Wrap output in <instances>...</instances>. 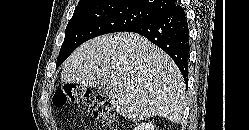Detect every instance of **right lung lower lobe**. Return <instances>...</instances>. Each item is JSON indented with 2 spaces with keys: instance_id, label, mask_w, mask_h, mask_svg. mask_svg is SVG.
Masks as SVG:
<instances>
[{
  "instance_id": "right-lung-lower-lobe-1",
  "label": "right lung lower lobe",
  "mask_w": 249,
  "mask_h": 130,
  "mask_svg": "<svg viewBox=\"0 0 249 130\" xmlns=\"http://www.w3.org/2000/svg\"><path fill=\"white\" fill-rule=\"evenodd\" d=\"M125 31L143 35L164 50L174 60L187 83L189 30L184 9L180 5H174L154 18Z\"/></svg>"
}]
</instances>
